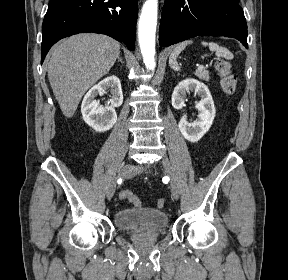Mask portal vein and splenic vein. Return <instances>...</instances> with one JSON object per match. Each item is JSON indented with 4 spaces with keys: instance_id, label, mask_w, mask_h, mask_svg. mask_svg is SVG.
Instances as JSON below:
<instances>
[{
    "instance_id": "1",
    "label": "portal vein and splenic vein",
    "mask_w": 288,
    "mask_h": 280,
    "mask_svg": "<svg viewBox=\"0 0 288 280\" xmlns=\"http://www.w3.org/2000/svg\"><path fill=\"white\" fill-rule=\"evenodd\" d=\"M198 66V69H202V65H197Z\"/></svg>"
}]
</instances>
